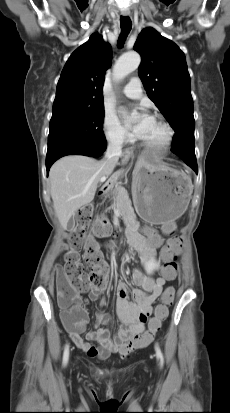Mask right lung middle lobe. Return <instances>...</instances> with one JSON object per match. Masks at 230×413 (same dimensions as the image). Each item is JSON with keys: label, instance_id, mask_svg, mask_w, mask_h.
<instances>
[{"label": "right lung middle lobe", "instance_id": "right-lung-middle-lobe-1", "mask_svg": "<svg viewBox=\"0 0 230 413\" xmlns=\"http://www.w3.org/2000/svg\"><path fill=\"white\" fill-rule=\"evenodd\" d=\"M104 108L53 112L47 154L70 145H104Z\"/></svg>", "mask_w": 230, "mask_h": 413}]
</instances>
